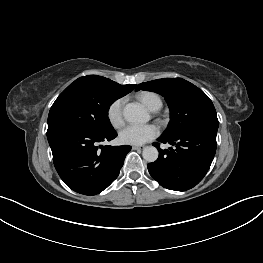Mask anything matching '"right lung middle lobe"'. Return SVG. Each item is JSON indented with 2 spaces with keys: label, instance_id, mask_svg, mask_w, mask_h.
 <instances>
[{
  "label": "right lung middle lobe",
  "instance_id": "obj_1",
  "mask_svg": "<svg viewBox=\"0 0 263 263\" xmlns=\"http://www.w3.org/2000/svg\"><path fill=\"white\" fill-rule=\"evenodd\" d=\"M119 98L97 83L75 80L52 105L47 134L60 129H84L100 134L112 132L108 110Z\"/></svg>",
  "mask_w": 263,
  "mask_h": 263
}]
</instances>
